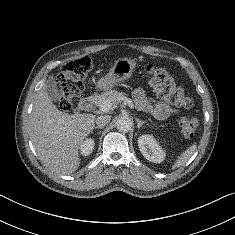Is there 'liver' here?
Listing matches in <instances>:
<instances>
[{
    "mask_svg": "<svg viewBox=\"0 0 235 235\" xmlns=\"http://www.w3.org/2000/svg\"><path fill=\"white\" fill-rule=\"evenodd\" d=\"M95 125L93 114H68L57 109L46 84L34 101L30 119L31 140L40 159L61 174L76 171L80 164L79 149Z\"/></svg>",
    "mask_w": 235,
    "mask_h": 235,
    "instance_id": "1",
    "label": "liver"
}]
</instances>
